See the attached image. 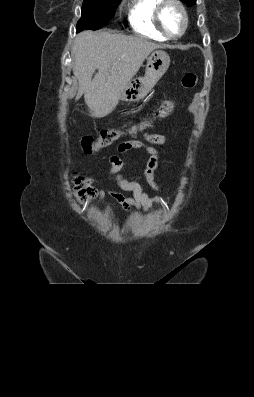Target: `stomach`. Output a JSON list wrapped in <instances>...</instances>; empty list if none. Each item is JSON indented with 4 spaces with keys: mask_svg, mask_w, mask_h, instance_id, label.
I'll list each match as a JSON object with an SVG mask.
<instances>
[{
    "mask_svg": "<svg viewBox=\"0 0 254 397\" xmlns=\"http://www.w3.org/2000/svg\"><path fill=\"white\" fill-rule=\"evenodd\" d=\"M169 65L170 57L165 51H153L147 58L144 76L129 81L121 91L120 100L131 103L144 99L165 74Z\"/></svg>",
    "mask_w": 254,
    "mask_h": 397,
    "instance_id": "obj_1",
    "label": "stomach"
}]
</instances>
